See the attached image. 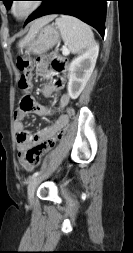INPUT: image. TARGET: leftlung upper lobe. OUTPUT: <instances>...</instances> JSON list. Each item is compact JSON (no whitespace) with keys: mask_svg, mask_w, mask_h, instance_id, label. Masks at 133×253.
<instances>
[{"mask_svg":"<svg viewBox=\"0 0 133 253\" xmlns=\"http://www.w3.org/2000/svg\"><path fill=\"white\" fill-rule=\"evenodd\" d=\"M0 1H3L4 5L6 6V8H9L10 5H11V2L14 1V0H0Z\"/></svg>","mask_w":133,"mask_h":253,"instance_id":"1","label":"left lung upper lobe"}]
</instances>
